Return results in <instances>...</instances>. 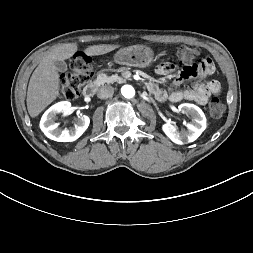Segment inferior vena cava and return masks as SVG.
Here are the masks:
<instances>
[{
  "label": "inferior vena cava",
  "instance_id": "inferior-vena-cava-1",
  "mask_svg": "<svg viewBox=\"0 0 253 253\" xmlns=\"http://www.w3.org/2000/svg\"><path fill=\"white\" fill-rule=\"evenodd\" d=\"M113 93H114V88L112 86L105 85L99 89L98 97L101 99H106V98L112 97Z\"/></svg>",
  "mask_w": 253,
  "mask_h": 253
}]
</instances>
